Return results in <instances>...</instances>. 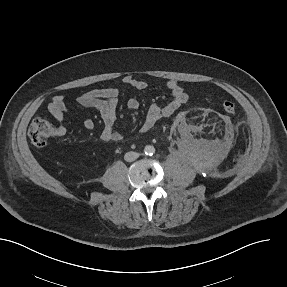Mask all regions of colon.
I'll return each mask as SVG.
<instances>
[{
	"instance_id": "1",
	"label": "colon",
	"mask_w": 287,
	"mask_h": 287,
	"mask_svg": "<svg viewBox=\"0 0 287 287\" xmlns=\"http://www.w3.org/2000/svg\"><path fill=\"white\" fill-rule=\"evenodd\" d=\"M223 109L227 113H234L236 110V106L231 101H225L223 103ZM54 134V126L53 124L43 118H37L35 119L28 130V135L36 147H43L46 145L47 140L52 137Z\"/></svg>"
}]
</instances>
